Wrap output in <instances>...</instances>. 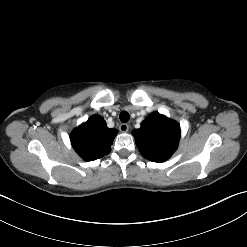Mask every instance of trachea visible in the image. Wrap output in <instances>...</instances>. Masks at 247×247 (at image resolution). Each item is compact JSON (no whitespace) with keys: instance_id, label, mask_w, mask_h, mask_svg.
<instances>
[{"instance_id":"trachea-1","label":"trachea","mask_w":247,"mask_h":247,"mask_svg":"<svg viewBox=\"0 0 247 247\" xmlns=\"http://www.w3.org/2000/svg\"><path fill=\"white\" fill-rule=\"evenodd\" d=\"M119 118H120V120H121L123 123H126V122L129 121L130 115L128 114V112L123 111V112L120 113Z\"/></svg>"}]
</instances>
